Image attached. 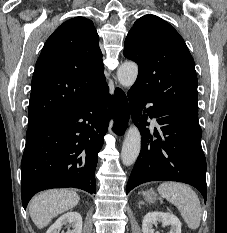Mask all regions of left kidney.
Listing matches in <instances>:
<instances>
[{
  "label": "left kidney",
  "instance_id": "obj_1",
  "mask_svg": "<svg viewBox=\"0 0 227 233\" xmlns=\"http://www.w3.org/2000/svg\"><path fill=\"white\" fill-rule=\"evenodd\" d=\"M157 222H162V225H170L171 229L169 233H181V222L171 213L163 212H150L145 215L142 222V231L143 233H154L153 225Z\"/></svg>",
  "mask_w": 227,
  "mask_h": 233
}]
</instances>
